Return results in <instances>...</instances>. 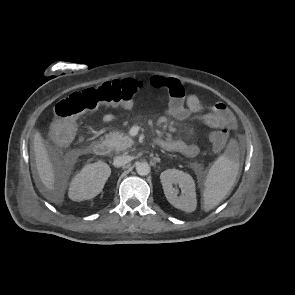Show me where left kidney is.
Wrapping results in <instances>:
<instances>
[{"label": "left kidney", "mask_w": 295, "mask_h": 295, "mask_svg": "<svg viewBox=\"0 0 295 295\" xmlns=\"http://www.w3.org/2000/svg\"><path fill=\"white\" fill-rule=\"evenodd\" d=\"M160 180L170 204L186 212H193L196 209L195 182L188 173L177 169H167L161 173ZM177 185L181 189V196H178Z\"/></svg>", "instance_id": "5707ae66"}]
</instances>
